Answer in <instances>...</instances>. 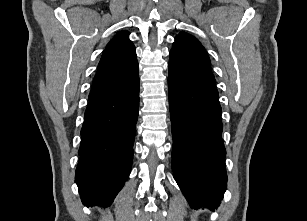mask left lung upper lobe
Wrapping results in <instances>:
<instances>
[{"label": "left lung upper lobe", "instance_id": "1", "mask_svg": "<svg viewBox=\"0 0 307 221\" xmlns=\"http://www.w3.org/2000/svg\"><path fill=\"white\" fill-rule=\"evenodd\" d=\"M170 53L179 56L191 67L215 82L207 52L193 36L185 32H180L175 37V42Z\"/></svg>", "mask_w": 307, "mask_h": 221}]
</instances>
